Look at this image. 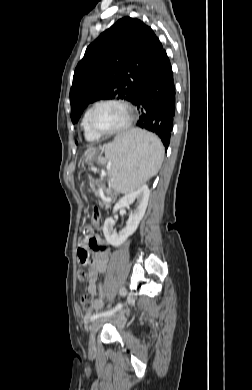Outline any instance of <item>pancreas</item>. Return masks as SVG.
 <instances>
[{"label": "pancreas", "mask_w": 252, "mask_h": 390, "mask_svg": "<svg viewBox=\"0 0 252 390\" xmlns=\"http://www.w3.org/2000/svg\"><path fill=\"white\" fill-rule=\"evenodd\" d=\"M101 206H103L105 209H109L111 207V202H104L102 198Z\"/></svg>", "instance_id": "pancreas-1"}]
</instances>
